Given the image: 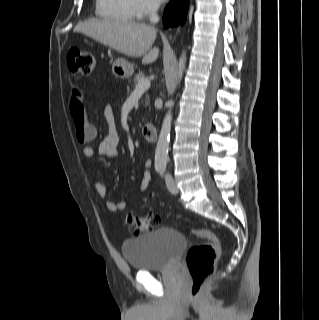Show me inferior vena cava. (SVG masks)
Returning <instances> with one entry per match:
<instances>
[{"mask_svg": "<svg viewBox=\"0 0 319 320\" xmlns=\"http://www.w3.org/2000/svg\"><path fill=\"white\" fill-rule=\"evenodd\" d=\"M158 8H159V4L157 2H153L151 4L149 19H150V22L153 24L159 21V17L157 14Z\"/></svg>", "mask_w": 319, "mask_h": 320, "instance_id": "obj_1", "label": "inferior vena cava"}]
</instances>
